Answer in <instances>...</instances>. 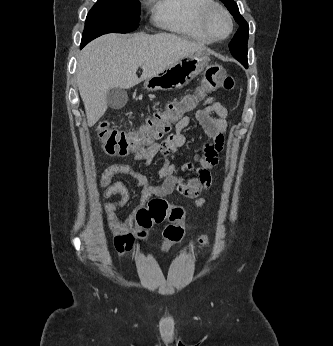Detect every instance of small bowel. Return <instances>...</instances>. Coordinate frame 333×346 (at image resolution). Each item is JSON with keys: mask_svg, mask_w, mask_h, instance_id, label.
Wrapping results in <instances>:
<instances>
[{"mask_svg": "<svg viewBox=\"0 0 333 346\" xmlns=\"http://www.w3.org/2000/svg\"><path fill=\"white\" fill-rule=\"evenodd\" d=\"M228 110L226 106L215 97H208L203 101V108L194 110L191 115H185L177 121L175 132L166 140L153 144L148 149L135 152V159L145 166L152 163L153 156L159 152L165 161L155 174V178H163L160 184H153L151 177L136 170L129 164L114 163L103 173L100 180V187L103 189L102 198L108 199L118 195L119 199L106 203L103 212L107 218L108 228L114 239H111V246L125 254L127 250L135 246V237L131 231L138 207L131 215L125 219L117 216L116 210L125 206L130 200V192L122 182H112V179L119 174L127 175L135 180L137 187L141 190V204H144L153 196L165 197L174 192H178L186 199H195V206L202 207L205 204L204 198H198L203 190H208L215 178L213 169L218 163V156L222 151L225 134L227 132ZM192 117L202 127L207 141L203 145L201 153L193 154V163H189L185 168L194 171L196 176L187 181H183L178 175V167L167 160L171 153L184 146L186 138L183 130L189 125Z\"/></svg>", "mask_w": 333, "mask_h": 346, "instance_id": "c3829d8e", "label": "small bowel"}]
</instances>
